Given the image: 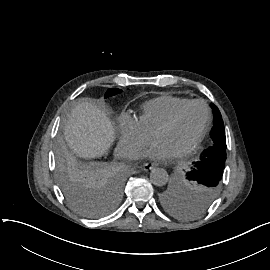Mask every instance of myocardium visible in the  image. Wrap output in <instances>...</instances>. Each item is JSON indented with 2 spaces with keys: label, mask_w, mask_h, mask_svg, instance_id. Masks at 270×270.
Listing matches in <instances>:
<instances>
[{
  "label": "myocardium",
  "mask_w": 270,
  "mask_h": 270,
  "mask_svg": "<svg viewBox=\"0 0 270 270\" xmlns=\"http://www.w3.org/2000/svg\"><path fill=\"white\" fill-rule=\"evenodd\" d=\"M194 105H201L203 106L204 110H205V120H204V124L203 127L201 129L200 134L198 135V137L193 141V143L187 147L186 149H184L183 151L179 152L177 155V157L182 158L185 157L189 154H191L193 151H195L198 146L201 144V142L203 141L207 130L209 128L210 125V121H211V114H210V110L209 107L207 106V104L202 101V100H192L189 101L187 104H185L184 106H182L180 109H178L171 117H169L165 122H163L160 126H158L152 133V135L154 136L155 134H157L158 132L162 131V130H166L169 129L171 127H173L181 118V116L183 115V113L189 109L190 107L194 106Z\"/></svg>",
  "instance_id": "f54148a6"
}]
</instances>
